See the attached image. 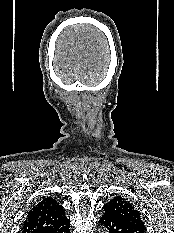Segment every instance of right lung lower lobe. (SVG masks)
Segmentation results:
<instances>
[{
    "mask_svg": "<svg viewBox=\"0 0 174 233\" xmlns=\"http://www.w3.org/2000/svg\"><path fill=\"white\" fill-rule=\"evenodd\" d=\"M69 225H70V223L68 225H66V226H63V227H61V228H59L57 230L52 231V233H70Z\"/></svg>",
    "mask_w": 174,
    "mask_h": 233,
    "instance_id": "98d812e1",
    "label": "right lung lower lobe"
}]
</instances>
